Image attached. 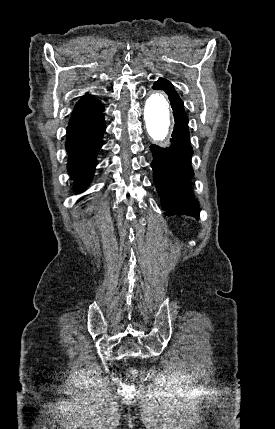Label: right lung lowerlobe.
Instances as JSON below:
<instances>
[{
	"label": "right lung lower lobe",
	"mask_w": 275,
	"mask_h": 429,
	"mask_svg": "<svg viewBox=\"0 0 275 429\" xmlns=\"http://www.w3.org/2000/svg\"><path fill=\"white\" fill-rule=\"evenodd\" d=\"M103 111L104 108L89 118L69 123L67 127V168L78 192L89 185L94 175L96 155L106 128Z\"/></svg>",
	"instance_id": "1"
}]
</instances>
